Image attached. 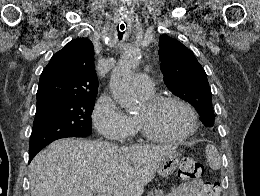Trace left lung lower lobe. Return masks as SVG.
Listing matches in <instances>:
<instances>
[{
  "mask_svg": "<svg viewBox=\"0 0 260 196\" xmlns=\"http://www.w3.org/2000/svg\"><path fill=\"white\" fill-rule=\"evenodd\" d=\"M201 120H202L203 123L206 125V124H208V122H209L211 119H206V118L201 117Z\"/></svg>",
  "mask_w": 260,
  "mask_h": 196,
  "instance_id": "1",
  "label": "left lung lower lobe"
}]
</instances>
